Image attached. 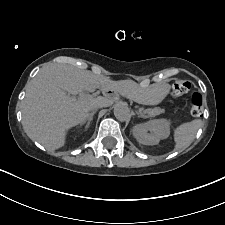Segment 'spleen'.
<instances>
[{
	"instance_id": "obj_1",
	"label": "spleen",
	"mask_w": 225,
	"mask_h": 225,
	"mask_svg": "<svg viewBox=\"0 0 225 225\" xmlns=\"http://www.w3.org/2000/svg\"><path fill=\"white\" fill-rule=\"evenodd\" d=\"M201 123L200 119H195L181 124L174 130L175 150L185 149L192 143Z\"/></svg>"
}]
</instances>
